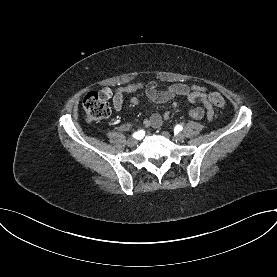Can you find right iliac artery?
<instances>
[{
  "label": "right iliac artery",
  "mask_w": 277,
  "mask_h": 277,
  "mask_svg": "<svg viewBox=\"0 0 277 277\" xmlns=\"http://www.w3.org/2000/svg\"><path fill=\"white\" fill-rule=\"evenodd\" d=\"M144 135H145V132H144L143 130H140V131L134 133L133 136H134L135 138H137V139H141V138L144 137Z\"/></svg>",
  "instance_id": "82829eb1"
}]
</instances>
